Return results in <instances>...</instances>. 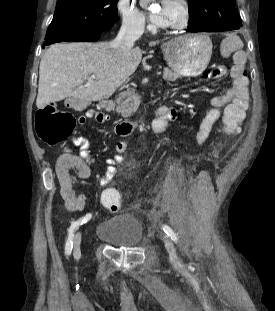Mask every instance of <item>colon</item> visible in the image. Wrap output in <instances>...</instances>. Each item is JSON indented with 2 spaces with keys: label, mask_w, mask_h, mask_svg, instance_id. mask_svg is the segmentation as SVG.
<instances>
[{
  "label": "colon",
  "mask_w": 275,
  "mask_h": 311,
  "mask_svg": "<svg viewBox=\"0 0 275 311\" xmlns=\"http://www.w3.org/2000/svg\"><path fill=\"white\" fill-rule=\"evenodd\" d=\"M223 69H216L214 76L220 77L224 75ZM71 103H79L72 100ZM84 116L76 118L69 111H61L54 106L49 105L38 111L36 115V134L42 141L48 144H57L65 141L73 132L76 124L83 121ZM222 130H240V118H220ZM103 205L112 210L117 209L120 204V196L118 190H101Z\"/></svg>",
  "instance_id": "colon-1"
}]
</instances>
